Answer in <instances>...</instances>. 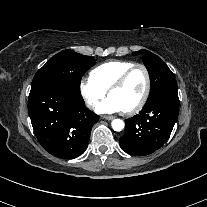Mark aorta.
Listing matches in <instances>:
<instances>
[{
	"label": "aorta",
	"mask_w": 207,
	"mask_h": 207,
	"mask_svg": "<svg viewBox=\"0 0 207 207\" xmlns=\"http://www.w3.org/2000/svg\"><path fill=\"white\" fill-rule=\"evenodd\" d=\"M112 128L114 131H121L124 128V122L121 119H114L112 121Z\"/></svg>",
	"instance_id": "762f6f07"
}]
</instances>
